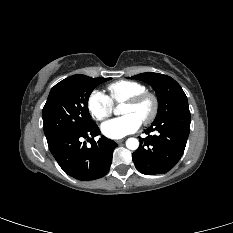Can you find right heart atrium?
<instances>
[{
	"mask_svg": "<svg viewBox=\"0 0 233 233\" xmlns=\"http://www.w3.org/2000/svg\"><path fill=\"white\" fill-rule=\"evenodd\" d=\"M87 108L95 120L102 121L112 114L113 104L105 94L94 90L88 97Z\"/></svg>",
	"mask_w": 233,
	"mask_h": 233,
	"instance_id": "right-heart-atrium-1",
	"label": "right heart atrium"
}]
</instances>
